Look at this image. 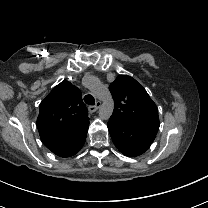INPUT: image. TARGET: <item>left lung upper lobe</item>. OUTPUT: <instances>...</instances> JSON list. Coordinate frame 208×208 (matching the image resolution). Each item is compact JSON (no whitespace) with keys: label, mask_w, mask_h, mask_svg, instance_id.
<instances>
[{"label":"left lung upper lobe","mask_w":208,"mask_h":208,"mask_svg":"<svg viewBox=\"0 0 208 208\" xmlns=\"http://www.w3.org/2000/svg\"><path fill=\"white\" fill-rule=\"evenodd\" d=\"M109 90L115 107L110 120L133 127L153 142L159 129L158 109L146 90L132 77L119 75Z\"/></svg>","instance_id":"1"}]
</instances>
